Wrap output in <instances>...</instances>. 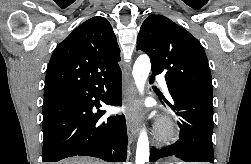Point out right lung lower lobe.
Returning a JSON list of instances; mask_svg holds the SVG:
<instances>
[{"mask_svg": "<svg viewBox=\"0 0 251 164\" xmlns=\"http://www.w3.org/2000/svg\"><path fill=\"white\" fill-rule=\"evenodd\" d=\"M121 82L119 69L108 77L44 96L42 162H57L77 155L125 162V118L103 119L104 111L92 112L94 106L99 107L97 100L101 98L107 105L121 104ZM104 88L108 91L106 95H102Z\"/></svg>", "mask_w": 251, "mask_h": 164, "instance_id": "obj_1", "label": "right lung lower lobe"}]
</instances>
